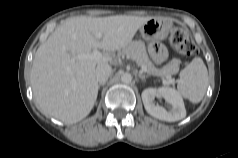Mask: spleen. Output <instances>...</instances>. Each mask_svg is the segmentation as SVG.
<instances>
[{
  "label": "spleen",
  "instance_id": "1",
  "mask_svg": "<svg viewBox=\"0 0 238 158\" xmlns=\"http://www.w3.org/2000/svg\"><path fill=\"white\" fill-rule=\"evenodd\" d=\"M178 93L193 103H199L207 89L208 71L200 57H195L181 72Z\"/></svg>",
  "mask_w": 238,
  "mask_h": 158
}]
</instances>
